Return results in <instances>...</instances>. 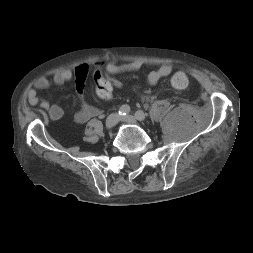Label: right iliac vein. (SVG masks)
<instances>
[{"instance_id":"obj_1","label":"right iliac vein","mask_w":253,"mask_h":253,"mask_svg":"<svg viewBox=\"0 0 253 253\" xmlns=\"http://www.w3.org/2000/svg\"><path fill=\"white\" fill-rule=\"evenodd\" d=\"M119 120V115L117 113H112L110 114L107 119H106V122H105V127L107 130L113 128L116 123L118 122Z\"/></svg>"}]
</instances>
